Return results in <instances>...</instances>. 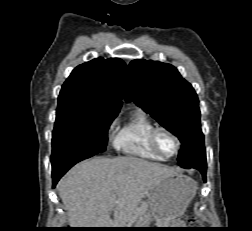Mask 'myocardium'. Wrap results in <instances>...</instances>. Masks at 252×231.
<instances>
[{
    "mask_svg": "<svg viewBox=\"0 0 252 231\" xmlns=\"http://www.w3.org/2000/svg\"><path fill=\"white\" fill-rule=\"evenodd\" d=\"M162 132L169 134L176 142V150L171 155H164L158 146V136ZM149 141H150V146L153 149V151L164 160H168V159H171L174 156H176L179 153L181 146H182V142H181L180 138L178 137V135L174 131H172L171 129L164 127V126L155 127L150 134Z\"/></svg>",
    "mask_w": 252,
    "mask_h": 231,
    "instance_id": "myocardium-1",
    "label": "myocardium"
}]
</instances>
